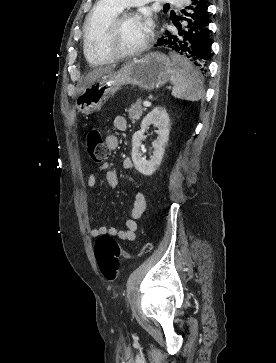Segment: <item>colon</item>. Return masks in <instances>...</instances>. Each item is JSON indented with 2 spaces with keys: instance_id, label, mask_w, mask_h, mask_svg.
<instances>
[{
  "instance_id": "obj_1",
  "label": "colon",
  "mask_w": 276,
  "mask_h": 363,
  "mask_svg": "<svg viewBox=\"0 0 276 363\" xmlns=\"http://www.w3.org/2000/svg\"><path fill=\"white\" fill-rule=\"evenodd\" d=\"M87 150L94 163H104L107 160L108 148L98 128H91L88 131ZM151 250V242L146 241L138 254H147ZM94 252L100 272L109 281L115 280L118 275L120 258H130L133 256L131 253L123 250L113 237L104 234L97 237Z\"/></svg>"
}]
</instances>
